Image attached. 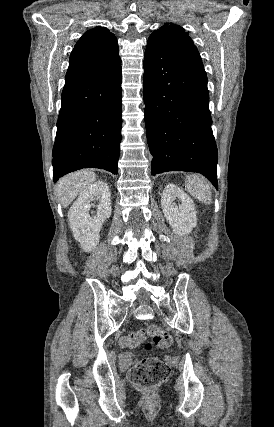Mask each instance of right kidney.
Wrapping results in <instances>:
<instances>
[{
	"instance_id": "obj_1",
	"label": "right kidney",
	"mask_w": 274,
	"mask_h": 427,
	"mask_svg": "<svg viewBox=\"0 0 274 427\" xmlns=\"http://www.w3.org/2000/svg\"><path fill=\"white\" fill-rule=\"evenodd\" d=\"M111 194L105 182H93L79 194L76 202L68 212L70 227L76 241L83 251H93L100 239V229L107 217L111 215ZM97 200L96 214L91 217V202Z\"/></svg>"
}]
</instances>
